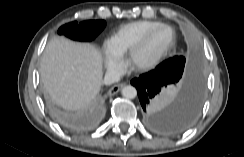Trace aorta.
Segmentation results:
<instances>
[{"label": "aorta", "instance_id": "1", "mask_svg": "<svg viewBox=\"0 0 244 157\" xmlns=\"http://www.w3.org/2000/svg\"><path fill=\"white\" fill-rule=\"evenodd\" d=\"M121 93L125 98H128V99H133L137 95V91H136L135 87H133L131 85H127V86L123 87Z\"/></svg>", "mask_w": 244, "mask_h": 157}]
</instances>
